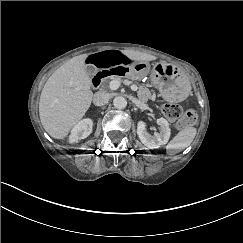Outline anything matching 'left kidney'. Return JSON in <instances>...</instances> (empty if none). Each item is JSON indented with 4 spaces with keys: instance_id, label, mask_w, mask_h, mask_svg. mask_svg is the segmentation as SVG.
I'll return each mask as SVG.
<instances>
[{
    "instance_id": "5707ae66",
    "label": "left kidney",
    "mask_w": 243,
    "mask_h": 243,
    "mask_svg": "<svg viewBox=\"0 0 243 243\" xmlns=\"http://www.w3.org/2000/svg\"><path fill=\"white\" fill-rule=\"evenodd\" d=\"M157 124L160 126V132L154 135L149 134L143 123H138L137 135L139 140L148 149H157L159 146L166 144L170 137L169 123L165 118H157Z\"/></svg>"
}]
</instances>
